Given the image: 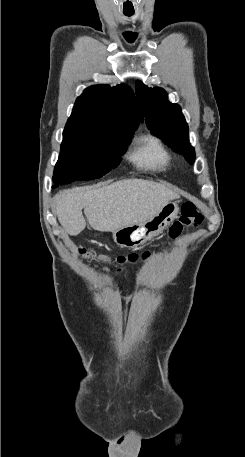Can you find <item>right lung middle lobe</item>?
I'll return each mask as SVG.
<instances>
[{"instance_id":"right-lung-middle-lobe-1","label":"right lung middle lobe","mask_w":245,"mask_h":457,"mask_svg":"<svg viewBox=\"0 0 245 457\" xmlns=\"http://www.w3.org/2000/svg\"><path fill=\"white\" fill-rule=\"evenodd\" d=\"M137 127L111 123L67 121L53 181L68 184L75 180L102 177L117 167Z\"/></svg>"}]
</instances>
